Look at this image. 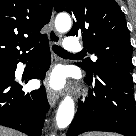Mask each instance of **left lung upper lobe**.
I'll list each match as a JSON object with an SVG mask.
<instances>
[{"instance_id":"1","label":"left lung upper lobe","mask_w":136,"mask_h":136,"mask_svg":"<svg viewBox=\"0 0 136 136\" xmlns=\"http://www.w3.org/2000/svg\"><path fill=\"white\" fill-rule=\"evenodd\" d=\"M57 12L74 15L68 36L81 35L84 47L98 59L78 65L89 74L132 73V46L124 13L115 0H53Z\"/></svg>"}]
</instances>
